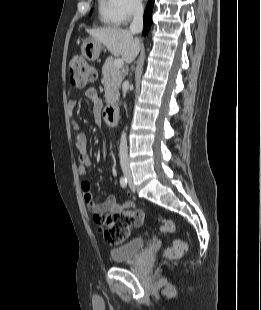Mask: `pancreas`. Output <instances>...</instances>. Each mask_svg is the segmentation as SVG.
I'll use <instances>...</instances> for the list:
<instances>
[{
    "mask_svg": "<svg viewBox=\"0 0 261 310\" xmlns=\"http://www.w3.org/2000/svg\"><path fill=\"white\" fill-rule=\"evenodd\" d=\"M103 85L105 89V99L108 104H114L119 97V88L124 75L120 69L114 66V59L109 57L102 68Z\"/></svg>",
    "mask_w": 261,
    "mask_h": 310,
    "instance_id": "obj_1",
    "label": "pancreas"
}]
</instances>
